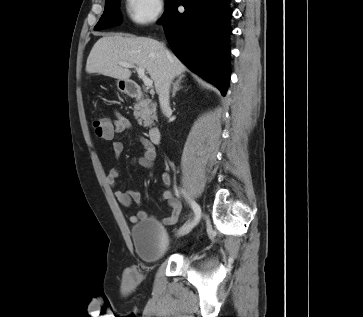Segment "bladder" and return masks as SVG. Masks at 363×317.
<instances>
[{
  "label": "bladder",
  "instance_id": "31cf9c89",
  "mask_svg": "<svg viewBox=\"0 0 363 317\" xmlns=\"http://www.w3.org/2000/svg\"><path fill=\"white\" fill-rule=\"evenodd\" d=\"M134 248L144 263H156L167 255L165 228L156 220L145 219L130 231Z\"/></svg>",
  "mask_w": 363,
  "mask_h": 317
}]
</instances>
